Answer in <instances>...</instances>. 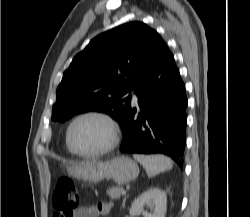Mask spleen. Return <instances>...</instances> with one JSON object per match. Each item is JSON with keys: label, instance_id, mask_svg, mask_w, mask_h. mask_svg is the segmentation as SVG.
<instances>
[{"label": "spleen", "instance_id": "3e777b00", "mask_svg": "<svg viewBox=\"0 0 250 217\" xmlns=\"http://www.w3.org/2000/svg\"><path fill=\"white\" fill-rule=\"evenodd\" d=\"M134 159L137 160L145 168L148 176L153 177L157 174L170 170L173 167V162L163 155H140L134 154Z\"/></svg>", "mask_w": 250, "mask_h": 217}]
</instances>
